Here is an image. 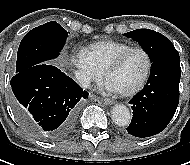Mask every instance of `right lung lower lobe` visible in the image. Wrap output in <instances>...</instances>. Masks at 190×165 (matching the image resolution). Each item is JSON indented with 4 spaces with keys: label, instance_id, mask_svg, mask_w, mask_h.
<instances>
[{
    "label": "right lung lower lobe",
    "instance_id": "obj_1",
    "mask_svg": "<svg viewBox=\"0 0 190 165\" xmlns=\"http://www.w3.org/2000/svg\"><path fill=\"white\" fill-rule=\"evenodd\" d=\"M11 87L13 108L22 125L47 140H60L72 133L78 102L88 97V92L48 63L17 73Z\"/></svg>",
    "mask_w": 190,
    "mask_h": 165
}]
</instances>
